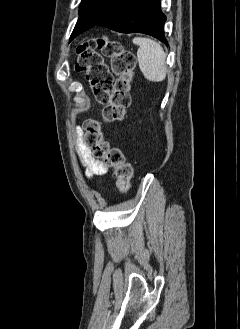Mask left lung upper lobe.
<instances>
[{
  "label": "left lung upper lobe",
  "mask_w": 240,
  "mask_h": 329,
  "mask_svg": "<svg viewBox=\"0 0 240 329\" xmlns=\"http://www.w3.org/2000/svg\"><path fill=\"white\" fill-rule=\"evenodd\" d=\"M121 0H82L79 19L70 40L88 30L106 16Z\"/></svg>",
  "instance_id": "obj_1"
}]
</instances>
